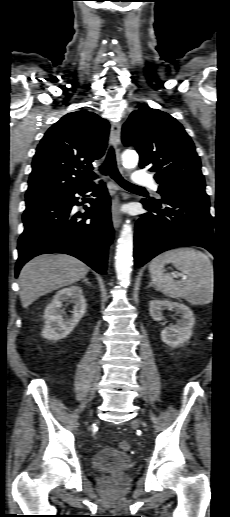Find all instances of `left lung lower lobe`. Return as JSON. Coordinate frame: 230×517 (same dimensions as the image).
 Returning <instances> with one entry per match:
<instances>
[{
	"mask_svg": "<svg viewBox=\"0 0 230 517\" xmlns=\"http://www.w3.org/2000/svg\"><path fill=\"white\" fill-rule=\"evenodd\" d=\"M142 203L150 212L142 215L136 223V267L176 247L199 246L216 254L207 194H176L160 203L146 199Z\"/></svg>",
	"mask_w": 230,
	"mask_h": 517,
	"instance_id": "0a47b994",
	"label": "left lung lower lobe"
}]
</instances>
